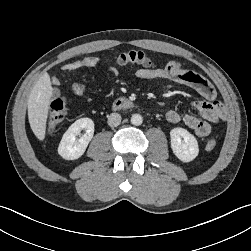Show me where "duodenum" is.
I'll list each match as a JSON object with an SVG mask.
<instances>
[{"instance_id":"1","label":"duodenum","mask_w":251,"mask_h":251,"mask_svg":"<svg viewBox=\"0 0 251 251\" xmlns=\"http://www.w3.org/2000/svg\"><path fill=\"white\" fill-rule=\"evenodd\" d=\"M134 107V103L127 98H117L112 103V108L114 110L130 109Z\"/></svg>"}]
</instances>
